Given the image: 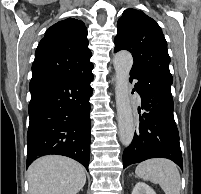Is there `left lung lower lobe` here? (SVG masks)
Segmentation results:
<instances>
[{
    "label": "left lung lower lobe",
    "mask_w": 201,
    "mask_h": 194,
    "mask_svg": "<svg viewBox=\"0 0 201 194\" xmlns=\"http://www.w3.org/2000/svg\"><path fill=\"white\" fill-rule=\"evenodd\" d=\"M144 111L132 143L123 153V168L150 158H167L183 169L179 134L173 116L171 84L157 78L130 74Z\"/></svg>",
    "instance_id": "0a47b994"
}]
</instances>
